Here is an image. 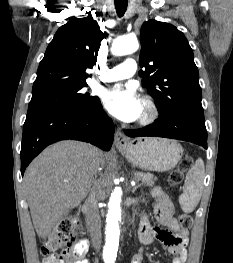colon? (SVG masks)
Returning <instances> with one entry per match:
<instances>
[{
    "instance_id": "1",
    "label": "colon",
    "mask_w": 233,
    "mask_h": 263,
    "mask_svg": "<svg viewBox=\"0 0 233 263\" xmlns=\"http://www.w3.org/2000/svg\"><path fill=\"white\" fill-rule=\"evenodd\" d=\"M192 165V158L186 156L179 167L174 170L168 179L171 187L176 186L181 180L183 173ZM178 221L183 229H189L192 219L188 214H180ZM78 216L74 215L58 223L57 227L43 241L41 256L43 263H75L77 246L80 242L77 237Z\"/></svg>"
}]
</instances>
